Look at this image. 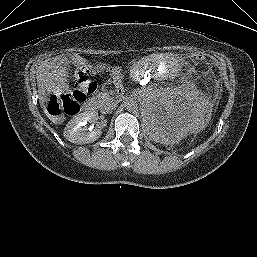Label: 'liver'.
<instances>
[{"label": "liver", "instance_id": "1", "mask_svg": "<svg viewBox=\"0 0 257 257\" xmlns=\"http://www.w3.org/2000/svg\"><path fill=\"white\" fill-rule=\"evenodd\" d=\"M51 68L52 67L47 62L42 63L38 69V74L36 78H37L40 105L44 110V113L48 116V118L53 123L57 124L63 121V117L48 114L46 110V105H45L46 95L51 92L57 91L56 84L58 81L59 74L54 70L50 71Z\"/></svg>", "mask_w": 257, "mask_h": 257}]
</instances>
